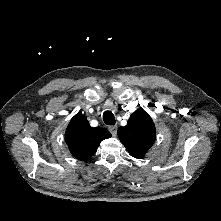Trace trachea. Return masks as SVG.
<instances>
[{
	"label": "trachea",
	"mask_w": 221,
	"mask_h": 221,
	"mask_svg": "<svg viewBox=\"0 0 221 221\" xmlns=\"http://www.w3.org/2000/svg\"><path fill=\"white\" fill-rule=\"evenodd\" d=\"M103 121L107 125H114L115 124V117L111 111H105L103 113Z\"/></svg>",
	"instance_id": "1"
}]
</instances>
